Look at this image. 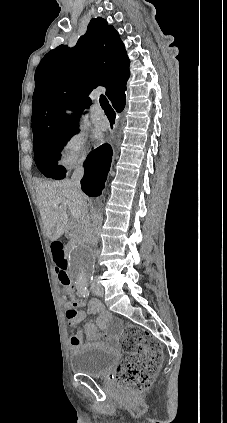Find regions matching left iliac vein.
I'll list each match as a JSON object with an SVG mask.
<instances>
[{"label": "left iliac vein", "mask_w": 227, "mask_h": 423, "mask_svg": "<svg viewBox=\"0 0 227 423\" xmlns=\"http://www.w3.org/2000/svg\"><path fill=\"white\" fill-rule=\"evenodd\" d=\"M92 291H93V293H94V294L99 295V293H98V289H92ZM99 296H100V295H99Z\"/></svg>", "instance_id": "4c4485c4"}]
</instances>
